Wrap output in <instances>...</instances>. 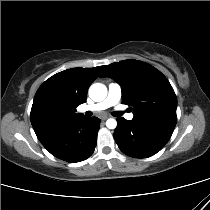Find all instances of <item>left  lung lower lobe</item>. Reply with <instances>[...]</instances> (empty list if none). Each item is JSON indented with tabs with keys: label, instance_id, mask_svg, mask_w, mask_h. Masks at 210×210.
Returning a JSON list of instances; mask_svg holds the SVG:
<instances>
[{
	"label": "left lung lower lobe",
	"instance_id": "left-lung-lower-lobe-1",
	"mask_svg": "<svg viewBox=\"0 0 210 210\" xmlns=\"http://www.w3.org/2000/svg\"><path fill=\"white\" fill-rule=\"evenodd\" d=\"M114 139L120 150L134 158H147L159 152L170 139L174 127L138 123L117 118Z\"/></svg>",
	"mask_w": 210,
	"mask_h": 210
}]
</instances>
